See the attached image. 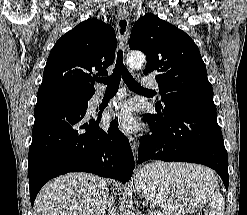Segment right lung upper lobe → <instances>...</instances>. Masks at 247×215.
<instances>
[{
    "mask_svg": "<svg viewBox=\"0 0 247 215\" xmlns=\"http://www.w3.org/2000/svg\"><path fill=\"white\" fill-rule=\"evenodd\" d=\"M117 39L111 25L94 18L64 34L51 49L44 68L42 87L60 88L92 96L94 79L108 75Z\"/></svg>",
    "mask_w": 247,
    "mask_h": 215,
    "instance_id": "right-lung-upper-lobe-1",
    "label": "right lung upper lobe"
}]
</instances>
